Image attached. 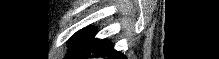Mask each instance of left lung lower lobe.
<instances>
[{
  "label": "left lung lower lobe",
  "mask_w": 219,
  "mask_h": 59,
  "mask_svg": "<svg viewBox=\"0 0 219 59\" xmlns=\"http://www.w3.org/2000/svg\"><path fill=\"white\" fill-rule=\"evenodd\" d=\"M96 33L92 32L66 59H88L102 57L106 59H126L116 51L113 44L106 39H94Z\"/></svg>",
  "instance_id": "left-lung-lower-lobe-1"
}]
</instances>
